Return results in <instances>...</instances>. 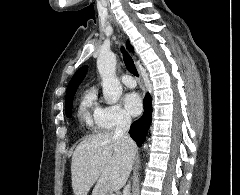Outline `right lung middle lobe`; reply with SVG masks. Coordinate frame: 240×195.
<instances>
[{
  "instance_id": "obj_1",
  "label": "right lung middle lobe",
  "mask_w": 240,
  "mask_h": 195,
  "mask_svg": "<svg viewBox=\"0 0 240 195\" xmlns=\"http://www.w3.org/2000/svg\"><path fill=\"white\" fill-rule=\"evenodd\" d=\"M65 112L67 117H71L72 115V103L65 107Z\"/></svg>"
}]
</instances>
